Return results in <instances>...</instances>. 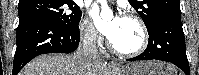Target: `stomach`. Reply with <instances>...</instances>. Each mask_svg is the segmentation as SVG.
<instances>
[{
    "label": "stomach",
    "mask_w": 199,
    "mask_h": 75,
    "mask_svg": "<svg viewBox=\"0 0 199 75\" xmlns=\"http://www.w3.org/2000/svg\"><path fill=\"white\" fill-rule=\"evenodd\" d=\"M166 69H169L167 71ZM169 65L156 61H141L121 65L113 70V75H172Z\"/></svg>",
    "instance_id": "1"
}]
</instances>
